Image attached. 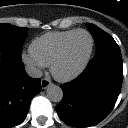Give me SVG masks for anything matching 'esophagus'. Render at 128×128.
Here are the masks:
<instances>
[{"instance_id":"34e87169","label":"esophagus","mask_w":128,"mask_h":128,"mask_svg":"<svg viewBox=\"0 0 128 128\" xmlns=\"http://www.w3.org/2000/svg\"><path fill=\"white\" fill-rule=\"evenodd\" d=\"M51 84H52L51 81H50L49 79H47V78H43V79L41 80V87H42V89H46V88L49 87Z\"/></svg>"}]
</instances>
